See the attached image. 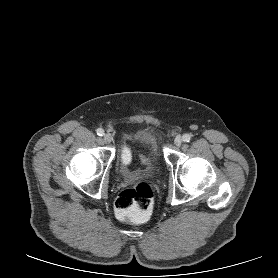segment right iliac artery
Instances as JSON below:
<instances>
[{"instance_id": "obj_1", "label": "right iliac artery", "mask_w": 278, "mask_h": 278, "mask_svg": "<svg viewBox=\"0 0 278 278\" xmlns=\"http://www.w3.org/2000/svg\"><path fill=\"white\" fill-rule=\"evenodd\" d=\"M96 132H97V134H98L99 136H103V135H104V130L101 129V128H98Z\"/></svg>"}]
</instances>
